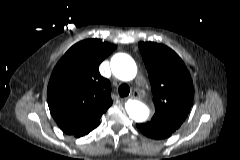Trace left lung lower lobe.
I'll list each match as a JSON object with an SVG mask.
<instances>
[{
    "label": "left lung lower lobe",
    "mask_w": 240,
    "mask_h": 160,
    "mask_svg": "<svg viewBox=\"0 0 240 160\" xmlns=\"http://www.w3.org/2000/svg\"><path fill=\"white\" fill-rule=\"evenodd\" d=\"M137 127L144 135L152 139L161 140L171 136L169 132L155 126L151 122L137 124Z\"/></svg>",
    "instance_id": "1"
}]
</instances>
